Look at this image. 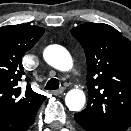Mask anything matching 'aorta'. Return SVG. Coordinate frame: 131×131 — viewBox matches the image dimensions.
<instances>
[{
    "label": "aorta",
    "mask_w": 131,
    "mask_h": 131,
    "mask_svg": "<svg viewBox=\"0 0 131 131\" xmlns=\"http://www.w3.org/2000/svg\"><path fill=\"white\" fill-rule=\"evenodd\" d=\"M45 61L60 71H68L72 67L69 52L58 45H50L44 51ZM66 106L70 111H80L85 104V94L80 89L70 90L65 97Z\"/></svg>",
    "instance_id": "obj_1"
}]
</instances>
